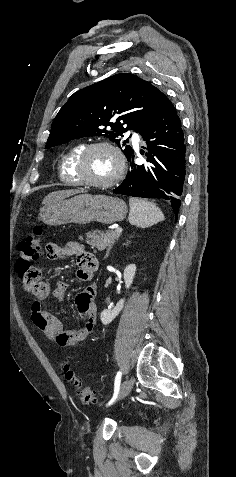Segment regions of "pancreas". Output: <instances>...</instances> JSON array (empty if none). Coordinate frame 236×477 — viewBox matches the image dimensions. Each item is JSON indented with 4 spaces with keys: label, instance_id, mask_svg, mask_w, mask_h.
<instances>
[{
    "label": "pancreas",
    "instance_id": "1",
    "mask_svg": "<svg viewBox=\"0 0 236 477\" xmlns=\"http://www.w3.org/2000/svg\"><path fill=\"white\" fill-rule=\"evenodd\" d=\"M86 243L96 247L99 251H103L106 248H111L112 244L120 237V234H117L114 231H106L99 233H87L86 234ZM82 240V238H79Z\"/></svg>",
    "mask_w": 236,
    "mask_h": 477
}]
</instances>
